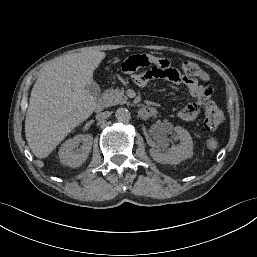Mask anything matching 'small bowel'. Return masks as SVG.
<instances>
[{
    "instance_id": "1",
    "label": "small bowel",
    "mask_w": 257,
    "mask_h": 257,
    "mask_svg": "<svg viewBox=\"0 0 257 257\" xmlns=\"http://www.w3.org/2000/svg\"><path fill=\"white\" fill-rule=\"evenodd\" d=\"M153 63V64H152ZM118 73L123 78H131L134 86L145 88L153 80H165L177 88H185L198 100L185 105L178 117L183 121H193L200 112L201 103L210 97V89L197 83L192 75L172 66L169 61L151 58L145 53L130 55L118 64Z\"/></svg>"
}]
</instances>
